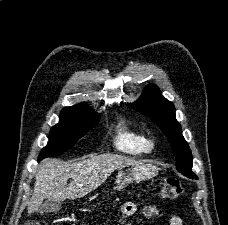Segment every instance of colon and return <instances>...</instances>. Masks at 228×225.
Listing matches in <instances>:
<instances>
[{
    "instance_id": "5ec220e1",
    "label": "colon",
    "mask_w": 228,
    "mask_h": 225,
    "mask_svg": "<svg viewBox=\"0 0 228 225\" xmlns=\"http://www.w3.org/2000/svg\"><path fill=\"white\" fill-rule=\"evenodd\" d=\"M162 197L166 200H173L179 198L183 194L182 183L175 178H166L162 182L161 189ZM26 225H43L38 220H31Z\"/></svg>"
}]
</instances>
